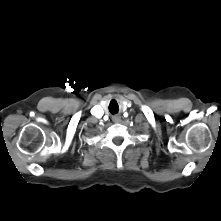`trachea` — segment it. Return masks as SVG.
Instances as JSON below:
<instances>
[{"label": "trachea", "instance_id": "1", "mask_svg": "<svg viewBox=\"0 0 221 221\" xmlns=\"http://www.w3.org/2000/svg\"><path fill=\"white\" fill-rule=\"evenodd\" d=\"M109 110L112 114H115L118 111V106L113 108L111 105L109 106Z\"/></svg>", "mask_w": 221, "mask_h": 221}]
</instances>
